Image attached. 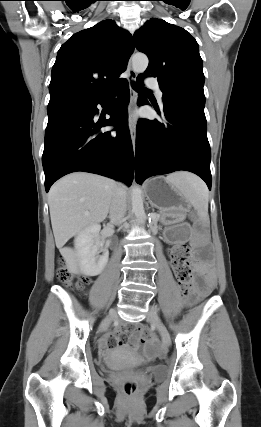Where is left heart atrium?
I'll use <instances>...</instances> for the list:
<instances>
[{
	"label": "left heart atrium",
	"mask_w": 261,
	"mask_h": 427,
	"mask_svg": "<svg viewBox=\"0 0 261 427\" xmlns=\"http://www.w3.org/2000/svg\"><path fill=\"white\" fill-rule=\"evenodd\" d=\"M130 122H131V124H135V119H134V118H132V119L130 120Z\"/></svg>",
	"instance_id": "39dd6f15"
}]
</instances>
